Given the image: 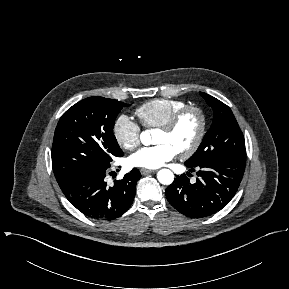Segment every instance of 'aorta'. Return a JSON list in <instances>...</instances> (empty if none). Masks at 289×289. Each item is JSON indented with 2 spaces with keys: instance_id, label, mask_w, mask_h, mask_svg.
I'll list each match as a JSON object with an SVG mask.
<instances>
[{
  "instance_id": "obj_1",
  "label": "aorta",
  "mask_w": 289,
  "mask_h": 289,
  "mask_svg": "<svg viewBox=\"0 0 289 289\" xmlns=\"http://www.w3.org/2000/svg\"><path fill=\"white\" fill-rule=\"evenodd\" d=\"M140 140L142 144L150 145L151 144L150 133L147 131L142 132L140 135ZM157 179L163 185H170L174 181V174L169 169H161L157 173Z\"/></svg>"
}]
</instances>
